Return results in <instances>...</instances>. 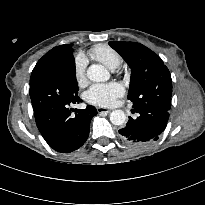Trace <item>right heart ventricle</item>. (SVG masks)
<instances>
[{"label": "right heart ventricle", "mask_w": 205, "mask_h": 205, "mask_svg": "<svg viewBox=\"0 0 205 205\" xmlns=\"http://www.w3.org/2000/svg\"><path fill=\"white\" fill-rule=\"evenodd\" d=\"M89 55L92 59L101 62L111 70L118 68L122 63L121 55L106 44L93 46L89 51Z\"/></svg>", "instance_id": "1"}]
</instances>
